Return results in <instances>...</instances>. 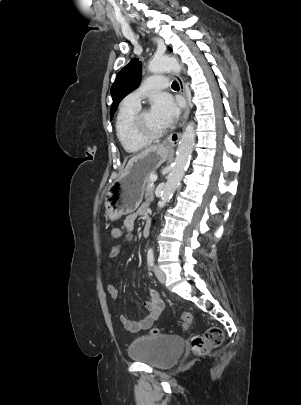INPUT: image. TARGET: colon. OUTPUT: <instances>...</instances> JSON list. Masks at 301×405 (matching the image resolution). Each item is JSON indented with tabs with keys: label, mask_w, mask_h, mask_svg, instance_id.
<instances>
[{
	"label": "colon",
	"mask_w": 301,
	"mask_h": 405,
	"mask_svg": "<svg viewBox=\"0 0 301 405\" xmlns=\"http://www.w3.org/2000/svg\"><path fill=\"white\" fill-rule=\"evenodd\" d=\"M106 234L108 236H117L118 229L114 224H108L106 226ZM182 320L185 326L191 323V316L188 313L182 315ZM152 335H157L160 333L158 329H152L150 331ZM224 340L223 331L218 327H211L207 329L203 334L196 336L191 341V350L193 354L197 356H204L208 354L212 349L219 347Z\"/></svg>",
	"instance_id": "colon-1"
}]
</instances>
